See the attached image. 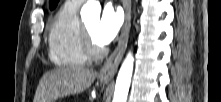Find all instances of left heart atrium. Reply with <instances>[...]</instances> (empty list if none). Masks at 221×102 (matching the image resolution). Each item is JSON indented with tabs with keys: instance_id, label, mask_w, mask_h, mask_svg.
<instances>
[{
	"instance_id": "obj_1",
	"label": "left heart atrium",
	"mask_w": 221,
	"mask_h": 102,
	"mask_svg": "<svg viewBox=\"0 0 221 102\" xmlns=\"http://www.w3.org/2000/svg\"><path fill=\"white\" fill-rule=\"evenodd\" d=\"M122 23V12L111 5L105 6L94 33L97 43L102 45L110 43L118 34Z\"/></svg>"
}]
</instances>
